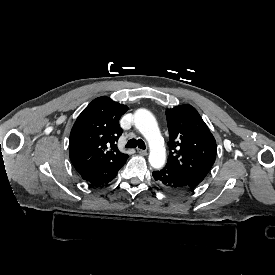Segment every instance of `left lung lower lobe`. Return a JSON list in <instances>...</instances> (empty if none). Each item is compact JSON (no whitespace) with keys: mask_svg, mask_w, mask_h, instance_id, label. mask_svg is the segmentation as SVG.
<instances>
[{"mask_svg":"<svg viewBox=\"0 0 275 275\" xmlns=\"http://www.w3.org/2000/svg\"><path fill=\"white\" fill-rule=\"evenodd\" d=\"M152 175L157 183L168 191L183 193L192 189L182 178L166 166L160 171H154Z\"/></svg>","mask_w":275,"mask_h":275,"instance_id":"0a47b994","label":"left lung lower lobe"}]
</instances>
